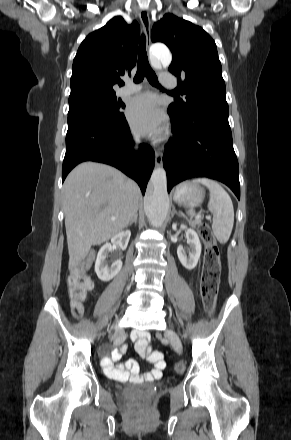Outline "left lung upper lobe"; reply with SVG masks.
<instances>
[{
    "mask_svg": "<svg viewBox=\"0 0 291 440\" xmlns=\"http://www.w3.org/2000/svg\"><path fill=\"white\" fill-rule=\"evenodd\" d=\"M151 39L171 50L169 71L177 76L185 100L176 99L168 112L184 118L195 110L228 111L226 87L214 40L201 27L173 14L154 24Z\"/></svg>",
    "mask_w": 291,
    "mask_h": 440,
    "instance_id": "1",
    "label": "left lung upper lobe"
}]
</instances>
